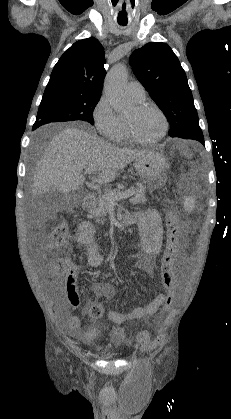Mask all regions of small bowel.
Returning <instances> with one entry per match:
<instances>
[{
	"label": "small bowel",
	"instance_id": "c3829d8e",
	"mask_svg": "<svg viewBox=\"0 0 231 419\" xmlns=\"http://www.w3.org/2000/svg\"><path fill=\"white\" fill-rule=\"evenodd\" d=\"M134 222L139 225L142 238V247L145 253L144 266L148 269L153 267L154 258L160 252L163 241V226L159 213L154 209L140 212L132 215ZM95 227L87 220L80 223L75 240L82 247L83 255L80 259L86 266L100 268L105 265V259L99 251V246L95 241ZM186 244L183 242L178 247L179 255H184ZM52 269V267H51ZM75 279V278H74ZM56 299L62 293L66 295L69 302L73 306L79 305V296L76 290L75 282L73 286H69L65 282L64 288H55ZM98 297L111 299L115 297V289L108 283H102L97 286ZM165 294H159L153 297L147 304L134 308L129 313H121L117 311H109L108 317L115 324H123L125 322L141 319L156 314L160 307L164 304L163 297ZM96 304L91 301L86 302V308L93 320L97 318L91 315V307ZM61 328L71 337L86 343L96 340L98 329L95 325L83 330L81 328L80 319L76 316H69L61 323Z\"/></svg>",
	"mask_w": 231,
	"mask_h": 419
}]
</instances>
